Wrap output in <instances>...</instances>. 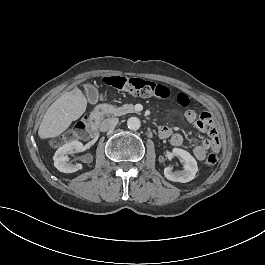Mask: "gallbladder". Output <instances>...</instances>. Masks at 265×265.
I'll return each mask as SVG.
<instances>
[{
	"instance_id": "bac80fb5",
	"label": "gallbladder",
	"mask_w": 265,
	"mask_h": 265,
	"mask_svg": "<svg viewBox=\"0 0 265 265\" xmlns=\"http://www.w3.org/2000/svg\"><path fill=\"white\" fill-rule=\"evenodd\" d=\"M85 93L87 94L90 103L95 104L98 101V90L90 85L85 86Z\"/></svg>"
}]
</instances>
